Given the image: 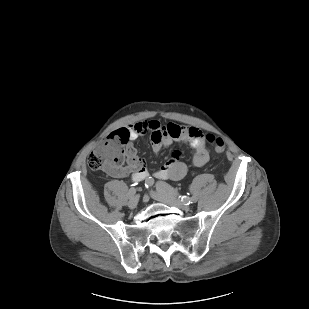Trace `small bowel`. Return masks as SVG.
Here are the masks:
<instances>
[{"label": "small bowel", "mask_w": 309, "mask_h": 309, "mask_svg": "<svg viewBox=\"0 0 309 309\" xmlns=\"http://www.w3.org/2000/svg\"><path fill=\"white\" fill-rule=\"evenodd\" d=\"M126 136V165L110 172L113 177L123 178L131 175L132 180L138 182L149 175L145 161L140 158L134 148L136 139L144 134H149L154 152H159L163 147L176 141L188 144L193 151L190 165L195 168L202 167L209 159V151L205 145L203 133L194 126L185 127L178 123L170 122L162 125L158 120L139 121L135 124L117 130ZM189 164L181 159V151L176 150L172 158L154 172L158 179L180 180L188 172Z\"/></svg>", "instance_id": "1"}]
</instances>
